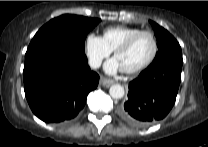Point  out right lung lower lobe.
<instances>
[{"mask_svg": "<svg viewBox=\"0 0 208 147\" xmlns=\"http://www.w3.org/2000/svg\"><path fill=\"white\" fill-rule=\"evenodd\" d=\"M23 78L32 112L47 123L74 119L99 82L84 49L62 39L28 47Z\"/></svg>", "mask_w": 208, "mask_h": 147, "instance_id": "obj_1", "label": "right lung lower lobe"}]
</instances>
